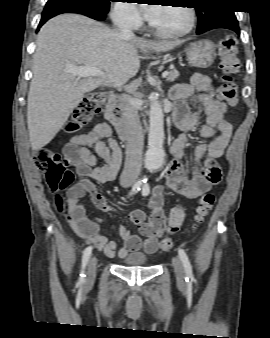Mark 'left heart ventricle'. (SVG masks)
I'll list each match as a JSON object with an SVG mask.
<instances>
[{
  "label": "left heart ventricle",
  "instance_id": "1",
  "mask_svg": "<svg viewBox=\"0 0 270 338\" xmlns=\"http://www.w3.org/2000/svg\"><path fill=\"white\" fill-rule=\"evenodd\" d=\"M189 22V14L183 7L162 6L152 24L164 32H176L184 29Z\"/></svg>",
  "mask_w": 270,
  "mask_h": 338
}]
</instances>
